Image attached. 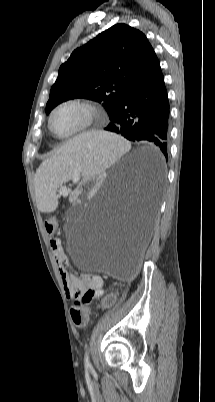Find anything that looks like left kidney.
Wrapping results in <instances>:
<instances>
[{
	"instance_id": "1",
	"label": "left kidney",
	"mask_w": 215,
	"mask_h": 402,
	"mask_svg": "<svg viewBox=\"0 0 215 402\" xmlns=\"http://www.w3.org/2000/svg\"><path fill=\"white\" fill-rule=\"evenodd\" d=\"M105 178V171L98 169L95 175H86L84 184H77L75 187L76 193H73V198H78V194L83 193V198H88V193H95L96 187L100 186V181Z\"/></svg>"
}]
</instances>
